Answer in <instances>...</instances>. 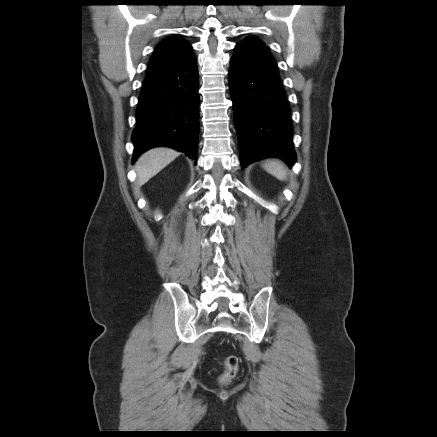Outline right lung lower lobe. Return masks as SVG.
Listing matches in <instances>:
<instances>
[{
  "instance_id": "98d812e1",
  "label": "right lung lower lobe",
  "mask_w": 437,
  "mask_h": 437,
  "mask_svg": "<svg viewBox=\"0 0 437 437\" xmlns=\"http://www.w3.org/2000/svg\"><path fill=\"white\" fill-rule=\"evenodd\" d=\"M198 79L193 54L147 75L136 108L132 162L155 146H169L197 160Z\"/></svg>"
}]
</instances>
